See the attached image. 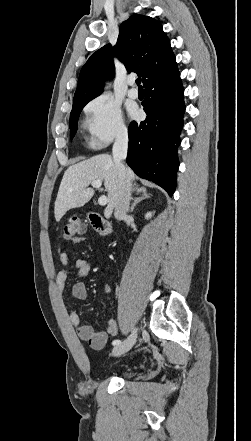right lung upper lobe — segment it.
Masks as SVG:
<instances>
[{"instance_id":"obj_1","label":"right lung upper lobe","mask_w":251,"mask_h":441,"mask_svg":"<svg viewBox=\"0 0 251 441\" xmlns=\"http://www.w3.org/2000/svg\"><path fill=\"white\" fill-rule=\"evenodd\" d=\"M113 55L143 79H150L176 66L170 40L162 25L144 15H132L119 28L114 47L107 44L93 53L82 67L73 101L95 98L103 91L104 79L114 73Z\"/></svg>"}]
</instances>
